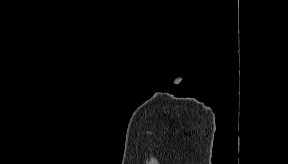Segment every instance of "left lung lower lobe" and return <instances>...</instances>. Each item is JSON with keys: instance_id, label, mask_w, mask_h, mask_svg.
Wrapping results in <instances>:
<instances>
[{"instance_id": "1", "label": "left lung lower lobe", "mask_w": 288, "mask_h": 164, "mask_svg": "<svg viewBox=\"0 0 288 164\" xmlns=\"http://www.w3.org/2000/svg\"><path fill=\"white\" fill-rule=\"evenodd\" d=\"M231 80L232 74L228 70L200 74L197 77L198 98L202 101L211 100L214 96V89L220 90L226 87Z\"/></svg>"}]
</instances>
